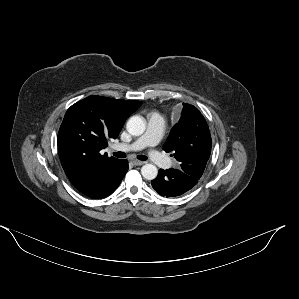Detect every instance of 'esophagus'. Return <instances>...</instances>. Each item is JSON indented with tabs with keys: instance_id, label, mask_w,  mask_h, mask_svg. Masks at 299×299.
Listing matches in <instances>:
<instances>
[{
	"instance_id": "34e87169",
	"label": "esophagus",
	"mask_w": 299,
	"mask_h": 299,
	"mask_svg": "<svg viewBox=\"0 0 299 299\" xmlns=\"http://www.w3.org/2000/svg\"><path fill=\"white\" fill-rule=\"evenodd\" d=\"M132 162H133V164H134L135 166H141V165H143V164H144V162H143V161L136 160V159L132 160Z\"/></svg>"
}]
</instances>
